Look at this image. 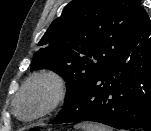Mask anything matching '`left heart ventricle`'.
I'll list each match as a JSON object with an SVG mask.
<instances>
[{
  "label": "left heart ventricle",
  "mask_w": 151,
  "mask_h": 131,
  "mask_svg": "<svg viewBox=\"0 0 151 131\" xmlns=\"http://www.w3.org/2000/svg\"><path fill=\"white\" fill-rule=\"evenodd\" d=\"M49 96V86H34L25 94L20 102V111L22 115L27 116L38 111L47 102Z\"/></svg>",
  "instance_id": "b2bd125f"
}]
</instances>
